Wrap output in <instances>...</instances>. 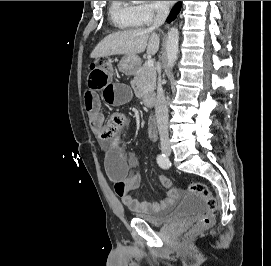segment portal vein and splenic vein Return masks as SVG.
I'll return each mask as SVG.
<instances>
[{
  "label": "portal vein and splenic vein",
  "mask_w": 271,
  "mask_h": 266,
  "mask_svg": "<svg viewBox=\"0 0 271 266\" xmlns=\"http://www.w3.org/2000/svg\"><path fill=\"white\" fill-rule=\"evenodd\" d=\"M146 64L149 66V67H153L154 66V61L152 59H149Z\"/></svg>",
  "instance_id": "18ae733b"
}]
</instances>
